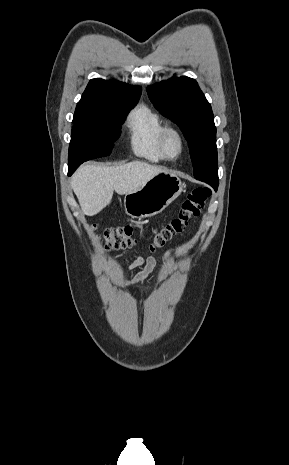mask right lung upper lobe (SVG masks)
Here are the masks:
<instances>
[{
	"instance_id": "right-lung-upper-lobe-1",
	"label": "right lung upper lobe",
	"mask_w": 289,
	"mask_h": 465,
	"mask_svg": "<svg viewBox=\"0 0 289 465\" xmlns=\"http://www.w3.org/2000/svg\"><path fill=\"white\" fill-rule=\"evenodd\" d=\"M140 94V86L100 78L92 79L77 103L73 121H99L109 105L116 102L138 101Z\"/></svg>"
}]
</instances>
